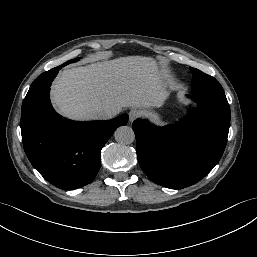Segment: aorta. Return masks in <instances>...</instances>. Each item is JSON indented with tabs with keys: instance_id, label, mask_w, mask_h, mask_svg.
I'll use <instances>...</instances> for the list:
<instances>
[{
	"instance_id": "aorta-1",
	"label": "aorta",
	"mask_w": 257,
	"mask_h": 257,
	"mask_svg": "<svg viewBox=\"0 0 257 257\" xmlns=\"http://www.w3.org/2000/svg\"><path fill=\"white\" fill-rule=\"evenodd\" d=\"M115 140L120 144H131L135 140V134L131 127L120 126L114 133Z\"/></svg>"
}]
</instances>
